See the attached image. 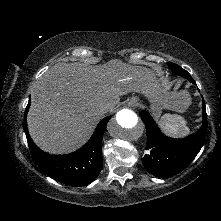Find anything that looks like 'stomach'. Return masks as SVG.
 <instances>
[{"mask_svg": "<svg viewBox=\"0 0 221 221\" xmlns=\"http://www.w3.org/2000/svg\"><path fill=\"white\" fill-rule=\"evenodd\" d=\"M174 94L175 93H169V92L166 91L167 96H171V95H174ZM176 95L180 96V100L183 103V106L186 107L187 101H188L187 97L183 94H176ZM150 108H151L153 114L156 117H159L162 110L164 109V100L163 99H151L150 100Z\"/></svg>", "mask_w": 221, "mask_h": 221, "instance_id": "1", "label": "stomach"}]
</instances>
